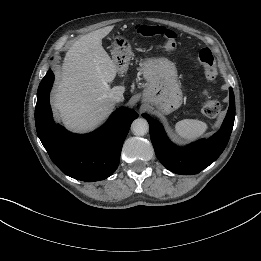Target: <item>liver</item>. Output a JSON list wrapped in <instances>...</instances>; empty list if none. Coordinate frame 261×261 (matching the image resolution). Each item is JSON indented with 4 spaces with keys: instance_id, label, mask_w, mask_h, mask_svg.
<instances>
[{
    "instance_id": "liver-1",
    "label": "liver",
    "mask_w": 261,
    "mask_h": 261,
    "mask_svg": "<svg viewBox=\"0 0 261 261\" xmlns=\"http://www.w3.org/2000/svg\"><path fill=\"white\" fill-rule=\"evenodd\" d=\"M103 28L74 42L66 53L53 96V106L64 125L86 132L99 125L113 110L110 93L122 94L124 86L110 87L117 66L102 47Z\"/></svg>"
}]
</instances>
